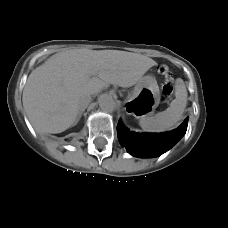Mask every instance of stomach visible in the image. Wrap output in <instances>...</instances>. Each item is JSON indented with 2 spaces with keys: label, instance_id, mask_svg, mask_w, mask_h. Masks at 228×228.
<instances>
[{
  "label": "stomach",
  "instance_id": "1",
  "mask_svg": "<svg viewBox=\"0 0 228 228\" xmlns=\"http://www.w3.org/2000/svg\"><path fill=\"white\" fill-rule=\"evenodd\" d=\"M130 106L137 108L139 118L150 116L160 102V91L156 79L147 75L142 77L129 95Z\"/></svg>",
  "mask_w": 228,
  "mask_h": 228
}]
</instances>
